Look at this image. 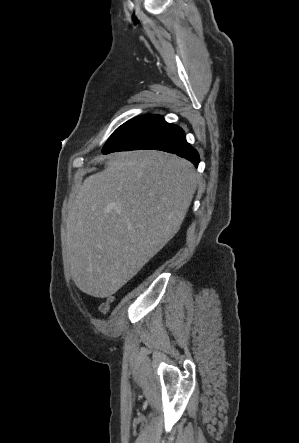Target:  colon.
<instances>
[{
	"label": "colon",
	"instance_id": "colon-1",
	"mask_svg": "<svg viewBox=\"0 0 299 443\" xmlns=\"http://www.w3.org/2000/svg\"><path fill=\"white\" fill-rule=\"evenodd\" d=\"M110 302H111V298H109L106 302H104V303L100 306V310H101L103 313H106V312L109 310Z\"/></svg>",
	"mask_w": 299,
	"mask_h": 443
}]
</instances>
